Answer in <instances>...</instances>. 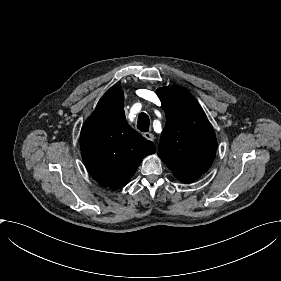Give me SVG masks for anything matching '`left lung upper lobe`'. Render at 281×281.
<instances>
[{"mask_svg": "<svg viewBox=\"0 0 281 281\" xmlns=\"http://www.w3.org/2000/svg\"><path fill=\"white\" fill-rule=\"evenodd\" d=\"M166 114L158 155L174 176L198 177L211 166L217 140L207 116L186 90L164 87L157 90Z\"/></svg>", "mask_w": 281, "mask_h": 281, "instance_id": "1", "label": "left lung upper lobe"}]
</instances>
